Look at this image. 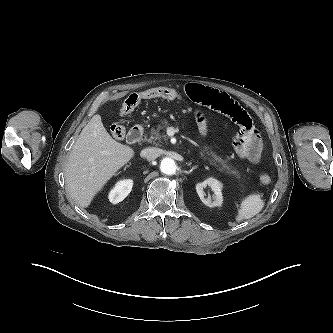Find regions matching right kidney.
I'll list each match as a JSON object with an SVG mask.
<instances>
[{
  "instance_id": "1",
  "label": "right kidney",
  "mask_w": 333,
  "mask_h": 333,
  "mask_svg": "<svg viewBox=\"0 0 333 333\" xmlns=\"http://www.w3.org/2000/svg\"><path fill=\"white\" fill-rule=\"evenodd\" d=\"M132 186L133 181L130 179L119 181L109 193L110 202L117 204L123 201L131 192Z\"/></svg>"
}]
</instances>
